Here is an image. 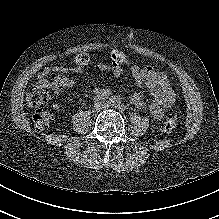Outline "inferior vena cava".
Here are the masks:
<instances>
[{
	"label": "inferior vena cava",
	"mask_w": 219,
	"mask_h": 219,
	"mask_svg": "<svg viewBox=\"0 0 219 219\" xmlns=\"http://www.w3.org/2000/svg\"><path fill=\"white\" fill-rule=\"evenodd\" d=\"M109 107V104L105 101L104 98L99 100V102L94 104V108L96 112H99L102 109H107Z\"/></svg>",
	"instance_id": "1"
}]
</instances>
